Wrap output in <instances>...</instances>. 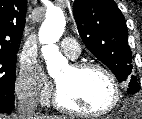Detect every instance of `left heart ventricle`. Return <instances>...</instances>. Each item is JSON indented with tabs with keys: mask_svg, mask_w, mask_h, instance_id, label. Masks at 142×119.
<instances>
[{
	"mask_svg": "<svg viewBox=\"0 0 142 119\" xmlns=\"http://www.w3.org/2000/svg\"><path fill=\"white\" fill-rule=\"evenodd\" d=\"M61 100L69 107L95 112L105 108L112 98L107 77L98 70L77 73L68 66L56 76Z\"/></svg>",
	"mask_w": 142,
	"mask_h": 119,
	"instance_id": "b2bd125f",
	"label": "left heart ventricle"
}]
</instances>
